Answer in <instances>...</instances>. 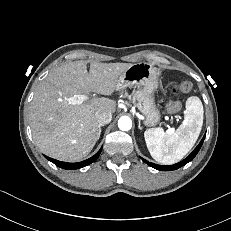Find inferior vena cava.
Instances as JSON below:
<instances>
[{"label":"inferior vena cava","instance_id":"602c4592","mask_svg":"<svg viewBox=\"0 0 231 231\" xmlns=\"http://www.w3.org/2000/svg\"><path fill=\"white\" fill-rule=\"evenodd\" d=\"M96 120L99 125H105L111 122L112 114L108 110H98L95 113Z\"/></svg>","mask_w":231,"mask_h":231}]
</instances>
